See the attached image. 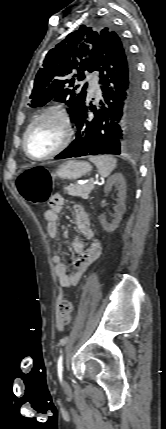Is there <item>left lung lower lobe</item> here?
<instances>
[{
	"label": "left lung lower lobe",
	"instance_id": "0a47b994",
	"mask_svg": "<svg viewBox=\"0 0 166 429\" xmlns=\"http://www.w3.org/2000/svg\"><path fill=\"white\" fill-rule=\"evenodd\" d=\"M93 71L99 72L103 101L94 106L86 98L74 120L76 139L56 159L139 152L143 93L135 62L119 36L99 47Z\"/></svg>",
	"mask_w": 166,
	"mask_h": 429
}]
</instances>
